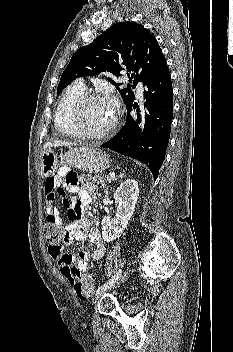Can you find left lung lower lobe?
Returning <instances> with one entry per match:
<instances>
[{
    "instance_id": "obj_1",
    "label": "left lung lower lobe",
    "mask_w": 233,
    "mask_h": 352,
    "mask_svg": "<svg viewBox=\"0 0 233 352\" xmlns=\"http://www.w3.org/2000/svg\"><path fill=\"white\" fill-rule=\"evenodd\" d=\"M144 84L143 115L136 102L129 104L124 127L102 147L141 161L156 179L165 157L173 117V91L167 63ZM133 108L137 109V118L130 115Z\"/></svg>"
}]
</instances>
